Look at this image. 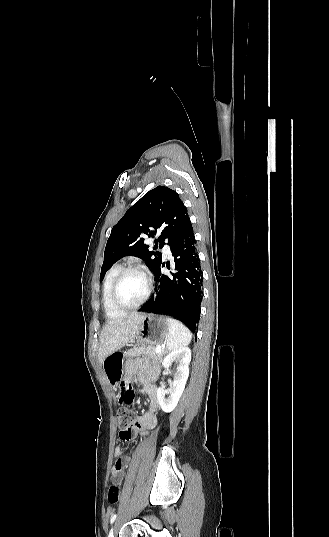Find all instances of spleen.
Instances as JSON below:
<instances>
[{
    "instance_id": "3e777b00",
    "label": "spleen",
    "mask_w": 329,
    "mask_h": 537,
    "mask_svg": "<svg viewBox=\"0 0 329 537\" xmlns=\"http://www.w3.org/2000/svg\"><path fill=\"white\" fill-rule=\"evenodd\" d=\"M169 336L166 347L169 351L187 346L192 339V334L180 321L169 318Z\"/></svg>"
}]
</instances>
